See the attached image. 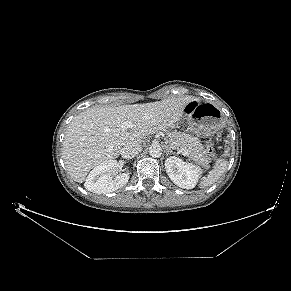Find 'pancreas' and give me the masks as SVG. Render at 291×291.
I'll list each match as a JSON object with an SVG mask.
<instances>
[{"label":"pancreas","instance_id":"cf45deb5","mask_svg":"<svg viewBox=\"0 0 291 291\" xmlns=\"http://www.w3.org/2000/svg\"><path fill=\"white\" fill-rule=\"evenodd\" d=\"M165 141L170 147L177 151L185 149L192 160L197 161L204 166H208L210 157L207 156V153L198 138L182 132L168 131Z\"/></svg>","mask_w":291,"mask_h":291}]
</instances>
